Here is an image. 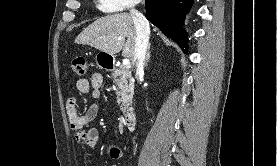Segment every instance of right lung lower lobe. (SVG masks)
<instances>
[{"instance_id":"1","label":"right lung lower lobe","mask_w":277,"mask_h":166,"mask_svg":"<svg viewBox=\"0 0 277 166\" xmlns=\"http://www.w3.org/2000/svg\"><path fill=\"white\" fill-rule=\"evenodd\" d=\"M193 0H146V18L187 51L186 32L183 30L185 14ZM185 48V49H184Z\"/></svg>"}]
</instances>
